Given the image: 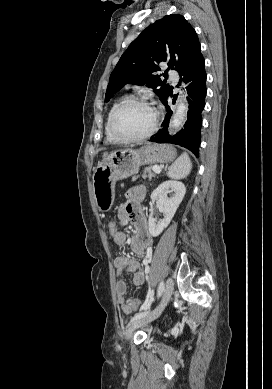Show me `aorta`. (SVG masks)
I'll use <instances>...</instances> for the list:
<instances>
[{"instance_id": "1", "label": "aorta", "mask_w": 272, "mask_h": 389, "mask_svg": "<svg viewBox=\"0 0 272 389\" xmlns=\"http://www.w3.org/2000/svg\"><path fill=\"white\" fill-rule=\"evenodd\" d=\"M188 112V104L185 98L181 97L178 99L176 111L173 115L169 125L170 134L175 133L186 121Z\"/></svg>"}]
</instances>
